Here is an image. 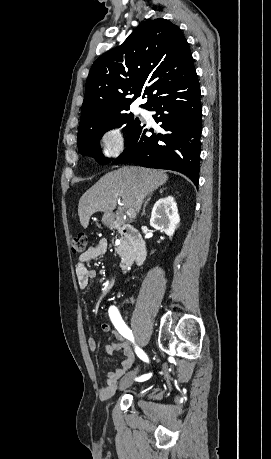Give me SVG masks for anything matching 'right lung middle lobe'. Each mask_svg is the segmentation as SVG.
Listing matches in <instances>:
<instances>
[{
	"mask_svg": "<svg viewBox=\"0 0 271 459\" xmlns=\"http://www.w3.org/2000/svg\"><path fill=\"white\" fill-rule=\"evenodd\" d=\"M141 107L145 108L146 106ZM124 124H126L124 131L128 134L129 139L142 123L139 118H134L133 114L126 112L80 122L78 130V149L80 153L93 157L100 164H108L112 159L103 156L99 141L105 131Z\"/></svg>",
	"mask_w": 271,
	"mask_h": 459,
	"instance_id": "dd1d6c3e",
	"label": "right lung middle lobe"
}]
</instances>
